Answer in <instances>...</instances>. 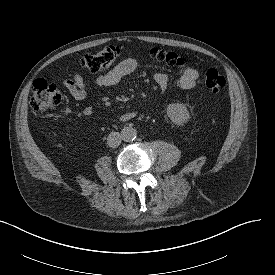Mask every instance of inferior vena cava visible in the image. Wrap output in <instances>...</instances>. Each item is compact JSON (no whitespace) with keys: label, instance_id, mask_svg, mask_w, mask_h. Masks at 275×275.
<instances>
[{"label":"inferior vena cava","instance_id":"1","mask_svg":"<svg viewBox=\"0 0 275 275\" xmlns=\"http://www.w3.org/2000/svg\"><path fill=\"white\" fill-rule=\"evenodd\" d=\"M121 134L119 132H111L107 138V144L109 147L116 148L121 144Z\"/></svg>","mask_w":275,"mask_h":275}]
</instances>
